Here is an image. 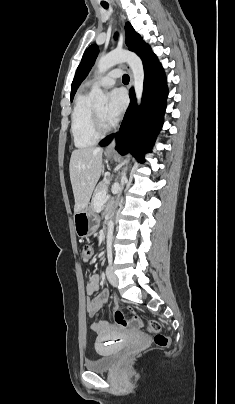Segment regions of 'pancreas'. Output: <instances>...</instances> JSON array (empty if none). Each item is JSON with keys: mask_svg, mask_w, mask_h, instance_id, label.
<instances>
[{"mask_svg": "<svg viewBox=\"0 0 235 404\" xmlns=\"http://www.w3.org/2000/svg\"><path fill=\"white\" fill-rule=\"evenodd\" d=\"M108 185H109V182H101V183H99L97 185V187H96V189L94 191L93 197H92V205H91V207H92L93 211L96 208V195L98 193H100V192H105L106 193L108 191Z\"/></svg>", "mask_w": 235, "mask_h": 404, "instance_id": "pancreas-1", "label": "pancreas"}]
</instances>
